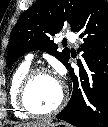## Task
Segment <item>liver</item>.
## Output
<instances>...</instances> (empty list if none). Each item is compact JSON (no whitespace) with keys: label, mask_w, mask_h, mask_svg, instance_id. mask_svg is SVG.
<instances>
[{"label":"liver","mask_w":108,"mask_h":127,"mask_svg":"<svg viewBox=\"0 0 108 127\" xmlns=\"http://www.w3.org/2000/svg\"><path fill=\"white\" fill-rule=\"evenodd\" d=\"M51 120H40L36 122H29L25 124H19L16 127H45Z\"/></svg>","instance_id":"1"}]
</instances>
